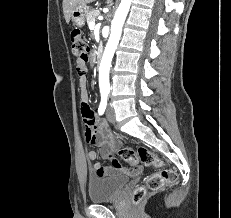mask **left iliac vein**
Segmentation results:
<instances>
[{"label": "left iliac vein", "mask_w": 231, "mask_h": 218, "mask_svg": "<svg viewBox=\"0 0 231 218\" xmlns=\"http://www.w3.org/2000/svg\"><path fill=\"white\" fill-rule=\"evenodd\" d=\"M106 116L107 119L109 120L110 123L114 124L116 119H115V112L111 104L107 106V111H106Z\"/></svg>", "instance_id": "1"}]
</instances>
